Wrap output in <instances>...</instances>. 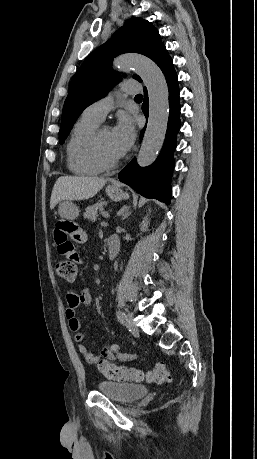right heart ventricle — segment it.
Here are the masks:
<instances>
[{"instance_id":"right-heart-ventricle-1","label":"right heart ventricle","mask_w":257,"mask_h":459,"mask_svg":"<svg viewBox=\"0 0 257 459\" xmlns=\"http://www.w3.org/2000/svg\"><path fill=\"white\" fill-rule=\"evenodd\" d=\"M101 122L83 114L75 123L66 146L69 170L81 176L96 175L102 169L94 163L89 154V141Z\"/></svg>"}]
</instances>
